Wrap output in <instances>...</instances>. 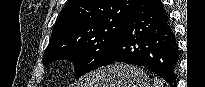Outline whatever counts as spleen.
Masks as SVG:
<instances>
[{
    "label": "spleen",
    "instance_id": "spleen-1",
    "mask_svg": "<svg viewBox=\"0 0 205 87\" xmlns=\"http://www.w3.org/2000/svg\"><path fill=\"white\" fill-rule=\"evenodd\" d=\"M154 87H164V85L160 80L154 79Z\"/></svg>",
    "mask_w": 205,
    "mask_h": 87
}]
</instances>
